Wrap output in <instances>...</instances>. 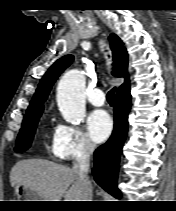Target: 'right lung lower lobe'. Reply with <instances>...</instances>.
<instances>
[{
    "label": "right lung lower lobe",
    "instance_id": "98d812e1",
    "mask_svg": "<svg viewBox=\"0 0 176 211\" xmlns=\"http://www.w3.org/2000/svg\"><path fill=\"white\" fill-rule=\"evenodd\" d=\"M131 106L130 91L116 94L114 99V130L110 139L94 153L95 181L116 198L121 194L116 185L119 158L127 136V116Z\"/></svg>",
    "mask_w": 176,
    "mask_h": 211
}]
</instances>
